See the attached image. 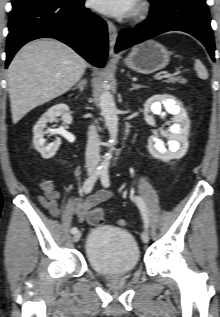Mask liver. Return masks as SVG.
<instances>
[{"label": "liver", "instance_id": "liver-1", "mask_svg": "<svg viewBox=\"0 0 220 317\" xmlns=\"http://www.w3.org/2000/svg\"><path fill=\"white\" fill-rule=\"evenodd\" d=\"M85 60L66 44L39 39L23 46L11 61L8 87L12 121L66 93L81 78Z\"/></svg>", "mask_w": 220, "mask_h": 317}]
</instances>
